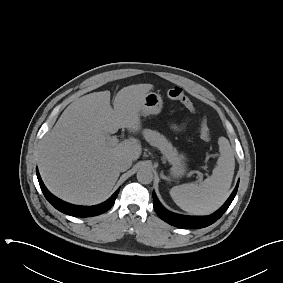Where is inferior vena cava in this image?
Here are the masks:
<instances>
[{
    "label": "inferior vena cava",
    "mask_w": 283,
    "mask_h": 283,
    "mask_svg": "<svg viewBox=\"0 0 283 283\" xmlns=\"http://www.w3.org/2000/svg\"><path fill=\"white\" fill-rule=\"evenodd\" d=\"M132 165V160L128 158L119 159L116 163V167L120 172H124Z\"/></svg>",
    "instance_id": "inferior-vena-cava-1"
}]
</instances>
